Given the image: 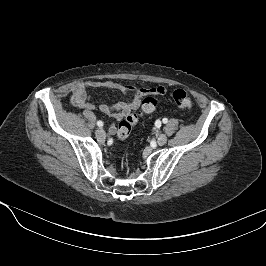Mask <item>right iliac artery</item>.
<instances>
[{
	"label": "right iliac artery",
	"instance_id": "82829eb1",
	"mask_svg": "<svg viewBox=\"0 0 266 266\" xmlns=\"http://www.w3.org/2000/svg\"><path fill=\"white\" fill-rule=\"evenodd\" d=\"M97 125H98L99 127H102V126H103V122H102V121H97Z\"/></svg>",
	"mask_w": 266,
	"mask_h": 266
}]
</instances>
